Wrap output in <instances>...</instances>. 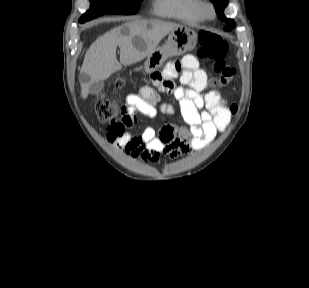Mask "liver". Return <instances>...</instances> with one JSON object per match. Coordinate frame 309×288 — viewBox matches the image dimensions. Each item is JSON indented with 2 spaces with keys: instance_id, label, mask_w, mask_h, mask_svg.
<instances>
[{
  "instance_id": "liver-1",
  "label": "liver",
  "mask_w": 309,
  "mask_h": 288,
  "mask_svg": "<svg viewBox=\"0 0 309 288\" xmlns=\"http://www.w3.org/2000/svg\"><path fill=\"white\" fill-rule=\"evenodd\" d=\"M180 25L156 19H133L98 38L87 50L81 68V75L86 81L81 83V94L85 99L89 86L109 78L122 66L135 64L152 54L158 43ZM140 37L145 43L144 49L137 48L133 39ZM120 48V62L116 49Z\"/></svg>"
}]
</instances>
